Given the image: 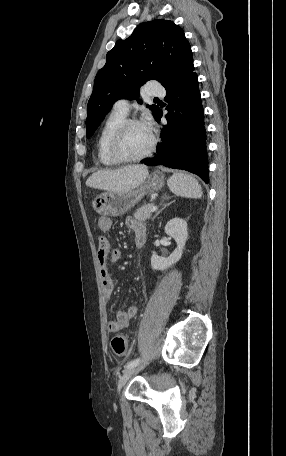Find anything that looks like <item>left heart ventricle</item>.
<instances>
[{
    "label": "left heart ventricle",
    "instance_id": "1",
    "mask_svg": "<svg viewBox=\"0 0 286 456\" xmlns=\"http://www.w3.org/2000/svg\"><path fill=\"white\" fill-rule=\"evenodd\" d=\"M151 143V136L148 127L144 125H133L123 134L120 143V153L128 158H134L144 154Z\"/></svg>",
    "mask_w": 286,
    "mask_h": 456
}]
</instances>
